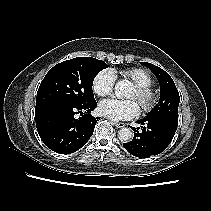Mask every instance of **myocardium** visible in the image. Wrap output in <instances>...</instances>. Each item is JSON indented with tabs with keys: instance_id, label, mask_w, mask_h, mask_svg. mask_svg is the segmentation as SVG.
<instances>
[{
	"instance_id": "obj_1",
	"label": "myocardium",
	"mask_w": 211,
	"mask_h": 211,
	"mask_svg": "<svg viewBox=\"0 0 211 211\" xmlns=\"http://www.w3.org/2000/svg\"><path fill=\"white\" fill-rule=\"evenodd\" d=\"M134 89L137 95V102L140 105L141 110L144 113L151 112L158 103V92L151 86L135 85Z\"/></svg>"
}]
</instances>
